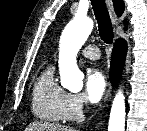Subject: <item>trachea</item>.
<instances>
[{
    "instance_id": "1",
    "label": "trachea",
    "mask_w": 147,
    "mask_h": 131,
    "mask_svg": "<svg viewBox=\"0 0 147 131\" xmlns=\"http://www.w3.org/2000/svg\"><path fill=\"white\" fill-rule=\"evenodd\" d=\"M91 4L98 22L99 35L106 44H111L114 34L105 0H91Z\"/></svg>"
}]
</instances>
